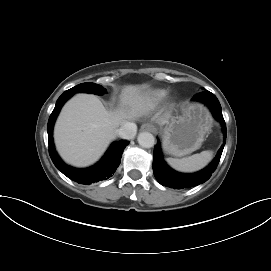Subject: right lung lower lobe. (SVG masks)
<instances>
[{
	"label": "right lung lower lobe",
	"instance_id": "right-lung-lower-lobe-1",
	"mask_svg": "<svg viewBox=\"0 0 271 271\" xmlns=\"http://www.w3.org/2000/svg\"><path fill=\"white\" fill-rule=\"evenodd\" d=\"M72 94L63 93L57 100L56 106L50 115L47 132L49 141V154L54 165L68 178L78 182L79 184L89 185L92 182H97L103 179H108L112 176V173L116 170L121 162V157L124 148L129 144L126 140H120L114 142L104 157L94 166L87 169H76L67 166L58 156L55 151L52 131L53 125L57 115L63 104L71 97Z\"/></svg>",
	"mask_w": 271,
	"mask_h": 271
}]
</instances>
